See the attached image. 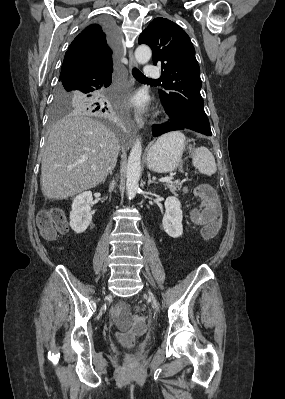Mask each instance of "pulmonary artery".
<instances>
[{
  "label": "pulmonary artery",
  "mask_w": 285,
  "mask_h": 399,
  "mask_svg": "<svg viewBox=\"0 0 285 399\" xmlns=\"http://www.w3.org/2000/svg\"><path fill=\"white\" fill-rule=\"evenodd\" d=\"M144 76L149 78V79L159 78L160 77V71L155 66L147 64L145 66Z\"/></svg>",
  "instance_id": "pulmonary-artery-1"
}]
</instances>
